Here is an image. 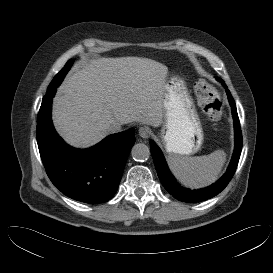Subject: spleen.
Listing matches in <instances>:
<instances>
[{
    "instance_id": "1",
    "label": "spleen",
    "mask_w": 273,
    "mask_h": 273,
    "mask_svg": "<svg viewBox=\"0 0 273 273\" xmlns=\"http://www.w3.org/2000/svg\"><path fill=\"white\" fill-rule=\"evenodd\" d=\"M167 161L172 174L182 185L196 189L217 179L226 161V153L216 150L209 155L195 157L170 155Z\"/></svg>"
}]
</instances>
